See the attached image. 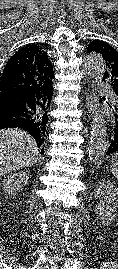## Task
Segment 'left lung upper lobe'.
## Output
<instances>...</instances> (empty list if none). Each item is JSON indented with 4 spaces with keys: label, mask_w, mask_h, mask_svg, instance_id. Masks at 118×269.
Returning a JSON list of instances; mask_svg holds the SVG:
<instances>
[{
    "label": "left lung upper lobe",
    "mask_w": 118,
    "mask_h": 269,
    "mask_svg": "<svg viewBox=\"0 0 118 269\" xmlns=\"http://www.w3.org/2000/svg\"><path fill=\"white\" fill-rule=\"evenodd\" d=\"M88 53H99L105 60L104 78L109 80L118 100V52L108 43L101 40L92 41L87 48Z\"/></svg>",
    "instance_id": "1"
}]
</instances>
